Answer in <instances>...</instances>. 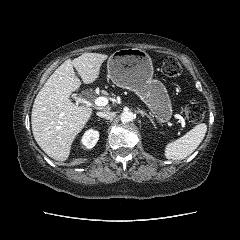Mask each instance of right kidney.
Segmentation results:
<instances>
[{"instance_id": "1", "label": "right kidney", "mask_w": 240, "mask_h": 240, "mask_svg": "<svg viewBox=\"0 0 240 240\" xmlns=\"http://www.w3.org/2000/svg\"><path fill=\"white\" fill-rule=\"evenodd\" d=\"M99 139V132L96 130H88L82 137V144L88 148H93Z\"/></svg>"}]
</instances>
